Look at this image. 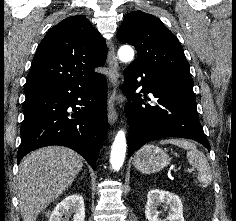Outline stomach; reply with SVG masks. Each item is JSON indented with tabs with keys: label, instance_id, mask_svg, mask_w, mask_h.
<instances>
[{
	"label": "stomach",
	"instance_id": "stomach-1",
	"mask_svg": "<svg viewBox=\"0 0 236 221\" xmlns=\"http://www.w3.org/2000/svg\"><path fill=\"white\" fill-rule=\"evenodd\" d=\"M170 158L165 150L155 145H145L134 156V167L145 174L155 173L169 164Z\"/></svg>",
	"mask_w": 236,
	"mask_h": 221
}]
</instances>
